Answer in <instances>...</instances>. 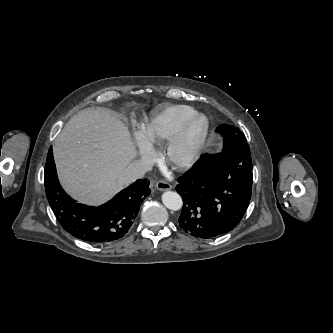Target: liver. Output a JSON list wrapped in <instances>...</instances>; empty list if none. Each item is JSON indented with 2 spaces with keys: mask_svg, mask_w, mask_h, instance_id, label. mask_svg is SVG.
Masks as SVG:
<instances>
[{
  "mask_svg": "<svg viewBox=\"0 0 333 333\" xmlns=\"http://www.w3.org/2000/svg\"><path fill=\"white\" fill-rule=\"evenodd\" d=\"M53 153L61 184L87 204H101L122 189L120 176L136 157L126 127L101 107L73 116L56 138Z\"/></svg>",
  "mask_w": 333,
  "mask_h": 333,
  "instance_id": "6515ba94",
  "label": "liver"
}]
</instances>
